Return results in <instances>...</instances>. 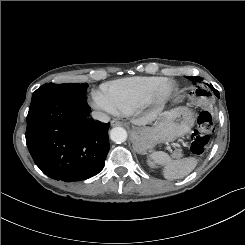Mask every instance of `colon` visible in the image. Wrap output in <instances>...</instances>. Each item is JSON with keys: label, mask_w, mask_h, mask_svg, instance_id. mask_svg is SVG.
Returning <instances> with one entry per match:
<instances>
[{"label": "colon", "mask_w": 245, "mask_h": 245, "mask_svg": "<svg viewBox=\"0 0 245 245\" xmlns=\"http://www.w3.org/2000/svg\"><path fill=\"white\" fill-rule=\"evenodd\" d=\"M213 131L214 125L210 112L202 110L198 116L197 127L191 135V151L193 154L201 155L204 153Z\"/></svg>", "instance_id": "obj_1"}]
</instances>
